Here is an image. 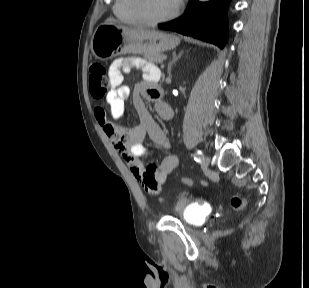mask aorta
<instances>
[{
	"label": "aorta",
	"mask_w": 309,
	"mask_h": 288,
	"mask_svg": "<svg viewBox=\"0 0 309 288\" xmlns=\"http://www.w3.org/2000/svg\"><path fill=\"white\" fill-rule=\"evenodd\" d=\"M200 1H203V2H204V1H207V0H200Z\"/></svg>",
	"instance_id": "1"
}]
</instances>
